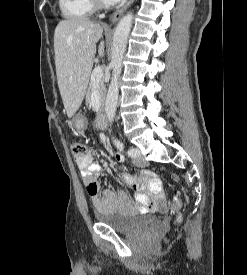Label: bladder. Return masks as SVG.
<instances>
[{"label":"bladder","mask_w":247,"mask_h":275,"mask_svg":"<svg viewBox=\"0 0 247 275\" xmlns=\"http://www.w3.org/2000/svg\"><path fill=\"white\" fill-rule=\"evenodd\" d=\"M98 223L107 225L116 231L129 233L141 227H148L158 221L154 215H142L140 213L113 214L96 210L94 213Z\"/></svg>","instance_id":"31cf9c89"}]
</instances>
